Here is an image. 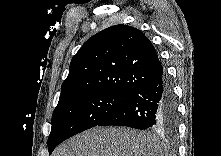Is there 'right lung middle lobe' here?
<instances>
[{"label":"right lung middle lobe","instance_id":"obj_1","mask_svg":"<svg viewBox=\"0 0 221 156\" xmlns=\"http://www.w3.org/2000/svg\"><path fill=\"white\" fill-rule=\"evenodd\" d=\"M130 96L99 92L59 103L52 115V128L47 145L49 153L62 141L105 120Z\"/></svg>","mask_w":221,"mask_h":156}]
</instances>
